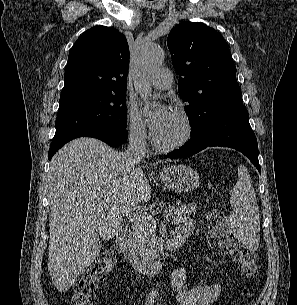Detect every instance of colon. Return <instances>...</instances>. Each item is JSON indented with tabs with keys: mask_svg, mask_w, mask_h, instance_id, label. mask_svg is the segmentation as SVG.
<instances>
[{
	"mask_svg": "<svg viewBox=\"0 0 297 305\" xmlns=\"http://www.w3.org/2000/svg\"><path fill=\"white\" fill-rule=\"evenodd\" d=\"M208 233L222 254L228 257L249 280L258 276V263L253 252L240 244L227 228L226 215L221 209H212L207 215ZM118 253L115 247L107 250L87 271L75 280L69 305H95L96 283L116 267Z\"/></svg>",
	"mask_w": 297,
	"mask_h": 305,
	"instance_id": "5ec220e1",
	"label": "colon"
}]
</instances>
